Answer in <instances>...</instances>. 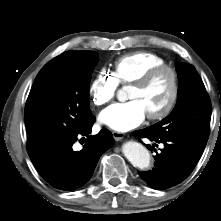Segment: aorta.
I'll return each mask as SVG.
<instances>
[{
	"label": "aorta",
	"instance_id": "obj_1",
	"mask_svg": "<svg viewBox=\"0 0 221 221\" xmlns=\"http://www.w3.org/2000/svg\"><path fill=\"white\" fill-rule=\"evenodd\" d=\"M124 97V90H120L118 93L119 100H122ZM122 152L134 167L146 169L150 166V154L142 144L135 141H128L123 144Z\"/></svg>",
	"mask_w": 221,
	"mask_h": 221
}]
</instances>
